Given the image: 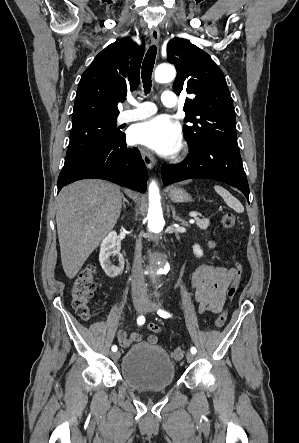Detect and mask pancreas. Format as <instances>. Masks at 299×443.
Wrapping results in <instances>:
<instances>
[{
  "instance_id": "cf45deb5",
  "label": "pancreas",
  "mask_w": 299,
  "mask_h": 443,
  "mask_svg": "<svg viewBox=\"0 0 299 443\" xmlns=\"http://www.w3.org/2000/svg\"><path fill=\"white\" fill-rule=\"evenodd\" d=\"M195 222H196V225L201 230H206L210 225L209 219H207V218H204V219L195 218Z\"/></svg>"
}]
</instances>
